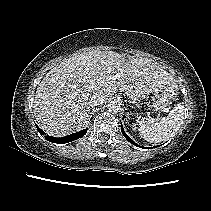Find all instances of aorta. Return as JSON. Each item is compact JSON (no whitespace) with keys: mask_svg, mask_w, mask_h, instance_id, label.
I'll use <instances>...</instances> for the list:
<instances>
[{"mask_svg":"<svg viewBox=\"0 0 211 211\" xmlns=\"http://www.w3.org/2000/svg\"><path fill=\"white\" fill-rule=\"evenodd\" d=\"M107 108L110 112H118L120 110V103L116 100H112L108 103Z\"/></svg>","mask_w":211,"mask_h":211,"instance_id":"1","label":"aorta"}]
</instances>
